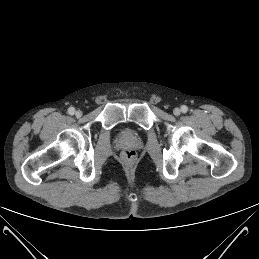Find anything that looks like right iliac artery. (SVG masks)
<instances>
[{
  "label": "right iliac artery",
  "instance_id": "1",
  "mask_svg": "<svg viewBox=\"0 0 259 259\" xmlns=\"http://www.w3.org/2000/svg\"><path fill=\"white\" fill-rule=\"evenodd\" d=\"M68 113H69L70 115H73V114L75 113V108H74V107H70V108L68 109Z\"/></svg>",
  "mask_w": 259,
  "mask_h": 259
}]
</instances>
